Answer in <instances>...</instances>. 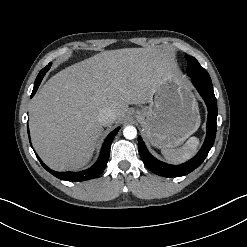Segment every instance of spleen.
Wrapping results in <instances>:
<instances>
[{
	"instance_id": "obj_1",
	"label": "spleen",
	"mask_w": 247,
	"mask_h": 247,
	"mask_svg": "<svg viewBox=\"0 0 247 247\" xmlns=\"http://www.w3.org/2000/svg\"><path fill=\"white\" fill-rule=\"evenodd\" d=\"M198 146L199 139L197 137H190L181 148H165L161 152L167 161L171 163H183L196 153Z\"/></svg>"
}]
</instances>
